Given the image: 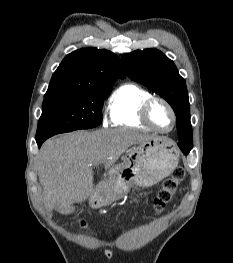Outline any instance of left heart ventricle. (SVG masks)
<instances>
[{"label":"left heart ventricle","instance_id":"1","mask_svg":"<svg viewBox=\"0 0 233 263\" xmlns=\"http://www.w3.org/2000/svg\"><path fill=\"white\" fill-rule=\"evenodd\" d=\"M150 116L153 123L162 130H167L172 125V116L166 106L161 102L153 104Z\"/></svg>","mask_w":233,"mask_h":263}]
</instances>
